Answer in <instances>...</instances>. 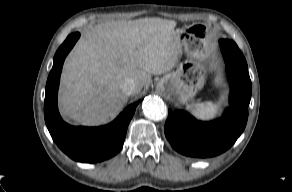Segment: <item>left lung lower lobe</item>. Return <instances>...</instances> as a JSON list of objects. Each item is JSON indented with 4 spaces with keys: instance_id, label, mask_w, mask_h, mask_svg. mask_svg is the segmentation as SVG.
I'll list each match as a JSON object with an SVG mask.
<instances>
[{
    "instance_id": "obj_1",
    "label": "left lung lower lobe",
    "mask_w": 292,
    "mask_h": 192,
    "mask_svg": "<svg viewBox=\"0 0 292 192\" xmlns=\"http://www.w3.org/2000/svg\"><path fill=\"white\" fill-rule=\"evenodd\" d=\"M230 85L229 102L224 115L215 121H197L185 111L173 112L165 123V135L179 153L198 158L219 155L229 149L243 132L251 99V81L247 63L235 43L220 41Z\"/></svg>"
}]
</instances>
